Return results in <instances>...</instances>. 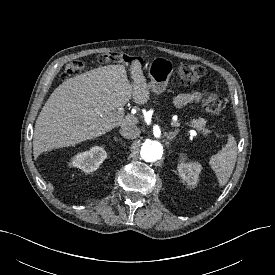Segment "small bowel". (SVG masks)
<instances>
[{
  "label": "small bowel",
  "instance_id": "c3829d8e",
  "mask_svg": "<svg viewBox=\"0 0 275 275\" xmlns=\"http://www.w3.org/2000/svg\"><path fill=\"white\" fill-rule=\"evenodd\" d=\"M201 98L199 92L193 91L190 93L180 94L176 97L175 103L177 106L182 107L188 103L198 102Z\"/></svg>",
  "mask_w": 275,
  "mask_h": 275
}]
</instances>
